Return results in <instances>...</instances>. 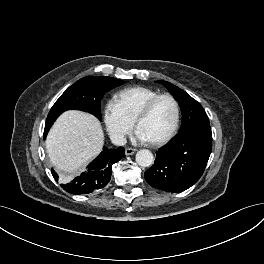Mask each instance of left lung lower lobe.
Here are the masks:
<instances>
[{"instance_id":"1","label":"left lung lower lobe","mask_w":264,"mask_h":264,"mask_svg":"<svg viewBox=\"0 0 264 264\" xmlns=\"http://www.w3.org/2000/svg\"><path fill=\"white\" fill-rule=\"evenodd\" d=\"M212 150L210 126L176 135L161 147L152 167L144 173L146 181L167 192H182L194 185L204 172Z\"/></svg>"}]
</instances>
